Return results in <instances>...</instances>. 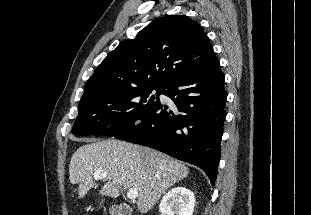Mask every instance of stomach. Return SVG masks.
I'll use <instances>...</instances> for the list:
<instances>
[{
	"label": "stomach",
	"mask_w": 311,
	"mask_h": 215,
	"mask_svg": "<svg viewBox=\"0 0 311 215\" xmlns=\"http://www.w3.org/2000/svg\"><path fill=\"white\" fill-rule=\"evenodd\" d=\"M110 212H111L112 215H115L116 209L115 208H111Z\"/></svg>",
	"instance_id": "obj_1"
}]
</instances>
